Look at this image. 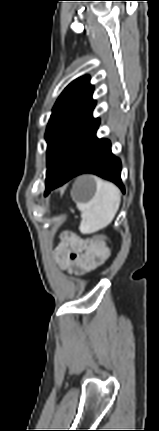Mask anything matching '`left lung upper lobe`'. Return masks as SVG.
Instances as JSON below:
<instances>
[{
	"label": "left lung upper lobe",
	"instance_id": "5c2ea615",
	"mask_svg": "<svg viewBox=\"0 0 159 431\" xmlns=\"http://www.w3.org/2000/svg\"><path fill=\"white\" fill-rule=\"evenodd\" d=\"M92 93L90 77L83 76L70 83L54 105L45 134L48 143L46 188L58 174L76 137L98 120L92 116L96 105Z\"/></svg>",
	"mask_w": 159,
	"mask_h": 431
}]
</instances>
